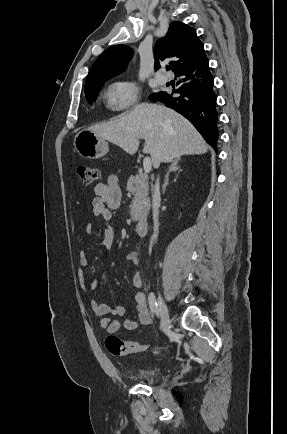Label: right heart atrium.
Here are the masks:
<instances>
[{
    "label": "right heart atrium",
    "instance_id": "right-heart-atrium-1",
    "mask_svg": "<svg viewBox=\"0 0 287 434\" xmlns=\"http://www.w3.org/2000/svg\"><path fill=\"white\" fill-rule=\"evenodd\" d=\"M139 96V87L128 80L116 81L107 90L109 106L116 111H123L133 105Z\"/></svg>",
    "mask_w": 287,
    "mask_h": 434
}]
</instances>
